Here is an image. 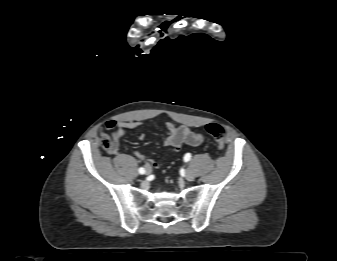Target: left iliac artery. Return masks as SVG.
I'll return each instance as SVG.
<instances>
[{"label":"left iliac artery","mask_w":337,"mask_h":261,"mask_svg":"<svg viewBox=\"0 0 337 261\" xmlns=\"http://www.w3.org/2000/svg\"><path fill=\"white\" fill-rule=\"evenodd\" d=\"M190 159H191V154L190 153L185 154L184 161L188 162Z\"/></svg>","instance_id":"left-iliac-artery-1"}]
</instances>
